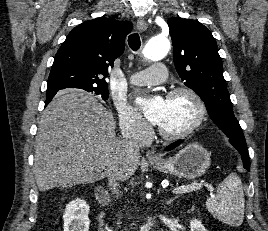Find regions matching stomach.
Listing matches in <instances>:
<instances>
[{"label":"stomach","instance_id":"stomach-1","mask_svg":"<svg viewBox=\"0 0 268 231\" xmlns=\"http://www.w3.org/2000/svg\"><path fill=\"white\" fill-rule=\"evenodd\" d=\"M211 154L197 143L187 145L175 156L151 164L160 172L178 176L179 178L195 179L205 174L210 167Z\"/></svg>","mask_w":268,"mask_h":231}]
</instances>
